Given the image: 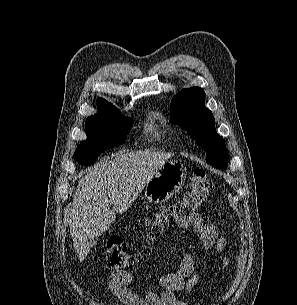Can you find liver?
I'll return each mask as SVG.
<instances>
[{
  "mask_svg": "<svg viewBox=\"0 0 297 305\" xmlns=\"http://www.w3.org/2000/svg\"><path fill=\"white\" fill-rule=\"evenodd\" d=\"M172 156L171 153L153 150L118 153L79 180L69 226L80 261H84L90 251L88 238L101 236L115 220V211L125 212L155 172Z\"/></svg>",
  "mask_w": 297,
  "mask_h": 305,
  "instance_id": "1",
  "label": "liver"
}]
</instances>
